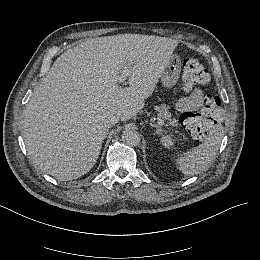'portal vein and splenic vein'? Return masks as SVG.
<instances>
[{
    "label": "portal vein and splenic vein",
    "instance_id": "portal-vein-and-splenic-vein-1",
    "mask_svg": "<svg viewBox=\"0 0 260 260\" xmlns=\"http://www.w3.org/2000/svg\"><path fill=\"white\" fill-rule=\"evenodd\" d=\"M129 74H130V70L129 69H123V71H122V73H121V75H120V79H119V82H124L126 79H127V77L129 76ZM158 123L160 124V125H163L164 124V121L162 120V119H159L158 120Z\"/></svg>",
    "mask_w": 260,
    "mask_h": 260
}]
</instances>
